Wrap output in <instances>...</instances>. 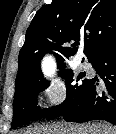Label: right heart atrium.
Listing matches in <instances>:
<instances>
[{"label": "right heart atrium", "instance_id": "obj_1", "mask_svg": "<svg viewBox=\"0 0 116 134\" xmlns=\"http://www.w3.org/2000/svg\"><path fill=\"white\" fill-rule=\"evenodd\" d=\"M68 97V87L61 79H53L44 85L41 99L49 108H58L65 103Z\"/></svg>", "mask_w": 116, "mask_h": 134}]
</instances>
